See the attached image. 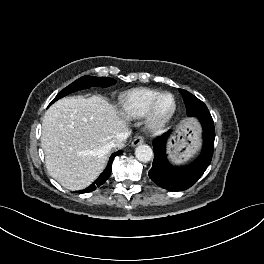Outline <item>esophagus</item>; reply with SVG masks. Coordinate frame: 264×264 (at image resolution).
Instances as JSON below:
<instances>
[{
	"label": "esophagus",
	"mask_w": 264,
	"mask_h": 264,
	"mask_svg": "<svg viewBox=\"0 0 264 264\" xmlns=\"http://www.w3.org/2000/svg\"><path fill=\"white\" fill-rule=\"evenodd\" d=\"M143 142H144V138L142 136H135L131 142V146L135 147L137 145L142 144Z\"/></svg>",
	"instance_id": "1"
}]
</instances>
